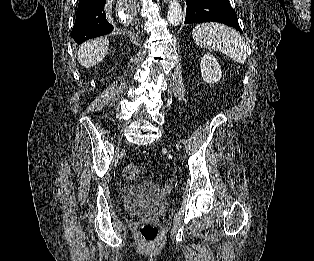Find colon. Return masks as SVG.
I'll return each mask as SVG.
<instances>
[{"label":"colon","instance_id":"5ec220e1","mask_svg":"<svg viewBox=\"0 0 314 261\" xmlns=\"http://www.w3.org/2000/svg\"><path fill=\"white\" fill-rule=\"evenodd\" d=\"M144 169L139 165H129L123 170V178L127 181H133L143 173ZM139 233L146 241H154L159 233V227L155 223H142L139 227Z\"/></svg>","mask_w":314,"mask_h":261}]
</instances>
